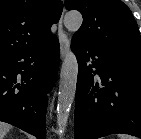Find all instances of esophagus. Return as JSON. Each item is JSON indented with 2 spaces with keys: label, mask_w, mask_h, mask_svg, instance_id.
I'll use <instances>...</instances> for the list:
<instances>
[{
  "label": "esophagus",
  "mask_w": 141,
  "mask_h": 139,
  "mask_svg": "<svg viewBox=\"0 0 141 139\" xmlns=\"http://www.w3.org/2000/svg\"><path fill=\"white\" fill-rule=\"evenodd\" d=\"M63 14H64V11H63L62 16L59 21V31H58V38H59V42H60V49H61V57L62 58L65 57V55L67 54L68 49H69L68 35L63 30Z\"/></svg>",
  "instance_id": "1"
}]
</instances>
